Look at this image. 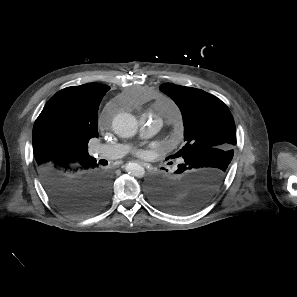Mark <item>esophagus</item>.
<instances>
[{
	"label": "esophagus",
	"instance_id": "1",
	"mask_svg": "<svg viewBox=\"0 0 297 297\" xmlns=\"http://www.w3.org/2000/svg\"><path fill=\"white\" fill-rule=\"evenodd\" d=\"M139 164H141L142 166H144L145 168H148L150 167V164L146 163V162H142V161H138Z\"/></svg>",
	"mask_w": 297,
	"mask_h": 297
}]
</instances>
